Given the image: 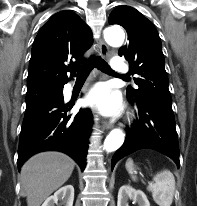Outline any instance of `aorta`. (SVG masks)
I'll list each match as a JSON object with an SVG mask.
<instances>
[{"label":"aorta","instance_id":"762f6f07","mask_svg":"<svg viewBox=\"0 0 197 206\" xmlns=\"http://www.w3.org/2000/svg\"><path fill=\"white\" fill-rule=\"evenodd\" d=\"M106 42L114 47H120L125 39V34L120 27H109L104 32ZM124 142V134L120 129H113L104 141V149L108 152L116 151Z\"/></svg>","mask_w":197,"mask_h":206}]
</instances>
